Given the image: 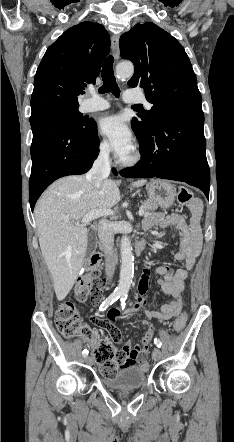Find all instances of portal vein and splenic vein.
Here are the masks:
<instances>
[{
  "mask_svg": "<svg viewBox=\"0 0 234 442\" xmlns=\"http://www.w3.org/2000/svg\"><path fill=\"white\" fill-rule=\"evenodd\" d=\"M113 214H114V211L112 209L95 210V211H92V212L88 213L87 215H85L81 220V224L80 223L79 224L86 225L89 222H91L92 220H94L95 218L102 217V216H110ZM138 214H139V216L146 215V213L144 212V210L142 208H140Z\"/></svg>",
  "mask_w": 234,
  "mask_h": 442,
  "instance_id": "18ae733b",
  "label": "portal vein and splenic vein"
}]
</instances>
